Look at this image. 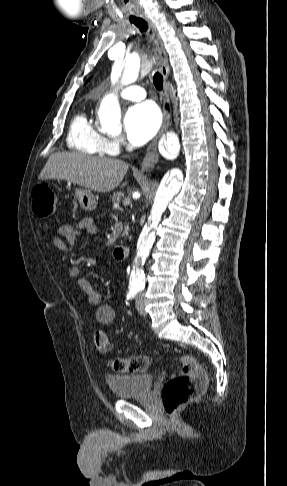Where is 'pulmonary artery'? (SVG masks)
<instances>
[{
  "label": "pulmonary artery",
  "instance_id": "pulmonary-artery-1",
  "mask_svg": "<svg viewBox=\"0 0 287 486\" xmlns=\"http://www.w3.org/2000/svg\"><path fill=\"white\" fill-rule=\"evenodd\" d=\"M120 96L131 101H140L146 97L145 90L137 85H131L120 92Z\"/></svg>",
  "mask_w": 287,
  "mask_h": 486
}]
</instances>
